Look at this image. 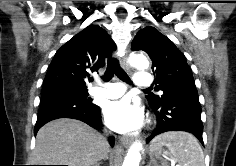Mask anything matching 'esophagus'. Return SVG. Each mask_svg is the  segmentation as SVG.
<instances>
[{
    "instance_id": "34e87169",
    "label": "esophagus",
    "mask_w": 236,
    "mask_h": 166,
    "mask_svg": "<svg viewBox=\"0 0 236 166\" xmlns=\"http://www.w3.org/2000/svg\"><path fill=\"white\" fill-rule=\"evenodd\" d=\"M120 64L122 68H124L125 70H130L127 55L123 56L120 59ZM133 139H134L133 137L123 136L121 137L120 141L123 145H130L133 142Z\"/></svg>"
}]
</instances>
